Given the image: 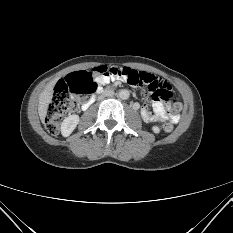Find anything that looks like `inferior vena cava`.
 Here are the masks:
<instances>
[{"label":"inferior vena cava","instance_id":"inferior-vena-cava-1","mask_svg":"<svg viewBox=\"0 0 233 233\" xmlns=\"http://www.w3.org/2000/svg\"><path fill=\"white\" fill-rule=\"evenodd\" d=\"M115 93H116V92H115L114 89H112V88H111V89L107 88V89H105L104 92L102 93V96H103V97H106V96H107V97H109V96L112 97V96L115 95Z\"/></svg>","mask_w":233,"mask_h":233}]
</instances>
